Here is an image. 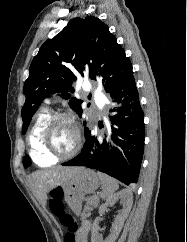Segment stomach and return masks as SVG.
I'll return each instance as SVG.
<instances>
[{
    "label": "stomach",
    "mask_w": 187,
    "mask_h": 242,
    "mask_svg": "<svg viewBox=\"0 0 187 242\" xmlns=\"http://www.w3.org/2000/svg\"><path fill=\"white\" fill-rule=\"evenodd\" d=\"M100 186V179L95 171L79 167L66 181L64 199L75 214H80L85 194L94 193Z\"/></svg>",
    "instance_id": "stomach-1"
}]
</instances>
